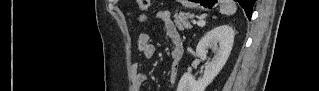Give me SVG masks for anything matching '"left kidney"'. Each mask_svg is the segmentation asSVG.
<instances>
[{
	"label": "left kidney",
	"instance_id": "left-kidney-1",
	"mask_svg": "<svg viewBox=\"0 0 319 91\" xmlns=\"http://www.w3.org/2000/svg\"><path fill=\"white\" fill-rule=\"evenodd\" d=\"M234 36V30L229 25L217 26L207 32L196 47V56L205 60L208 50L211 49L214 52V57L208 58L203 77L198 81L195 80L191 72L184 73L179 81L177 91H205L227 62L233 47Z\"/></svg>",
	"mask_w": 319,
	"mask_h": 91
}]
</instances>
